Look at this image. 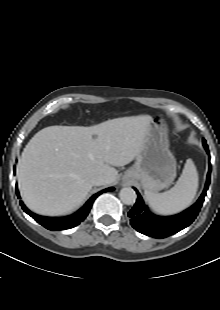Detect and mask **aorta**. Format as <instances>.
<instances>
[{"instance_id":"obj_1","label":"aorta","mask_w":220,"mask_h":310,"mask_svg":"<svg viewBox=\"0 0 220 310\" xmlns=\"http://www.w3.org/2000/svg\"><path fill=\"white\" fill-rule=\"evenodd\" d=\"M119 197L124 204L132 205L135 203L137 195L134 189L125 187L120 190Z\"/></svg>"}]
</instances>
